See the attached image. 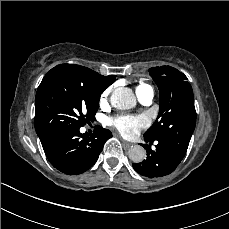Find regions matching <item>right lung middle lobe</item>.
Listing matches in <instances>:
<instances>
[{
    "mask_svg": "<svg viewBox=\"0 0 229 229\" xmlns=\"http://www.w3.org/2000/svg\"><path fill=\"white\" fill-rule=\"evenodd\" d=\"M99 99L100 94L90 91L76 75L50 70L35 98V129L42 146L61 132L80 128L94 120Z\"/></svg>",
    "mask_w": 229,
    "mask_h": 229,
    "instance_id": "right-lung-middle-lobe-1",
    "label": "right lung middle lobe"
}]
</instances>
